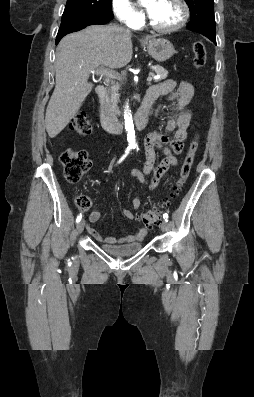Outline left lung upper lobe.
<instances>
[{"label":"left lung upper lobe","instance_id":"obj_1","mask_svg":"<svg viewBox=\"0 0 254 397\" xmlns=\"http://www.w3.org/2000/svg\"><path fill=\"white\" fill-rule=\"evenodd\" d=\"M190 8V24L215 25L213 0H185Z\"/></svg>","mask_w":254,"mask_h":397}]
</instances>
